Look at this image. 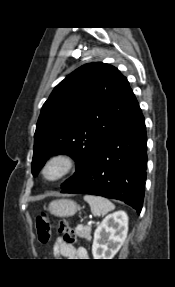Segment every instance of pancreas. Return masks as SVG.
I'll return each instance as SVG.
<instances>
[{"mask_svg": "<svg viewBox=\"0 0 175 287\" xmlns=\"http://www.w3.org/2000/svg\"><path fill=\"white\" fill-rule=\"evenodd\" d=\"M75 234L77 236H79L80 238H84L86 240H90L91 239V226L88 225V226H85V227H82V228H76L75 230Z\"/></svg>", "mask_w": 175, "mask_h": 287, "instance_id": "1", "label": "pancreas"}]
</instances>
